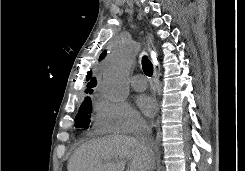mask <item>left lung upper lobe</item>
Returning <instances> with one entry per match:
<instances>
[{
	"mask_svg": "<svg viewBox=\"0 0 245 171\" xmlns=\"http://www.w3.org/2000/svg\"><path fill=\"white\" fill-rule=\"evenodd\" d=\"M105 54H106L105 52L102 53V55L100 56V60L104 58Z\"/></svg>",
	"mask_w": 245,
	"mask_h": 171,
	"instance_id": "left-lung-upper-lobe-1",
	"label": "left lung upper lobe"
}]
</instances>
